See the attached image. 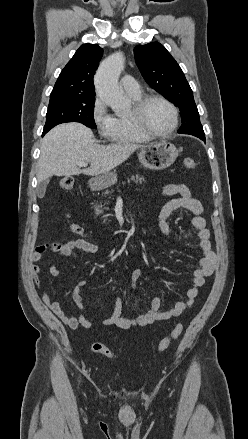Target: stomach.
I'll list each match as a JSON object with an SVG mask.
<instances>
[{
    "label": "stomach",
    "mask_w": 248,
    "mask_h": 439,
    "mask_svg": "<svg viewBox=\"0 0 248 439\" xmlns=\"http://www.w3.org/2000/svg\"><path fill=\"white\" fill-rule=\"evenodd\" d=\"M179 150L170 142L162 140L141 146L138 152L140 163L151 170H162L171 166L176 160ZM117 182L115 172H107L89 180L92 190H102Z\"/></svg>",
    "instance_id": "obj_1"
}]
</instances>
